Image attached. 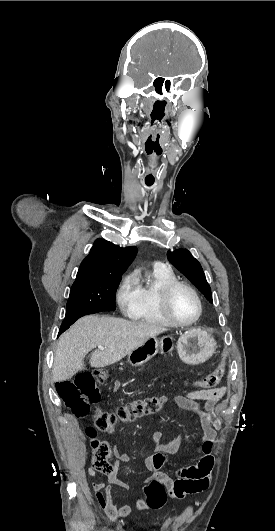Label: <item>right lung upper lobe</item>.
<instances>
[{
    "label": "right lung upper lobe",
    "instance_id": "obj_1",
    "mask_svg": "<svg viewBox=\"0 0 275 531\" xmlns=\"http://www.w3.org/2000/svg\"><path fill=\"white\" fill-rule=\"evenodd\" d=\"M136 253L135 246L121 248L107 240L97 239L82 261L76 278L121 276Z\"/></svg>",
    "mask_w": 275,
    "mask_h": 531
}]
</instances>
